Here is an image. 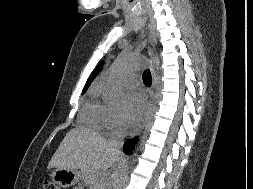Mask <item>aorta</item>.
<instances>
[{"label": "aorta", "instance_id": "obj_1", "mask_svg": "<svg viewBox=\"0 0 253 189\" xmlns=\"http://www.w3.org/2000/svg\"><path fill=\"white\" fill-rule=\"evenodd\" d=\"M143 66L141 58H134L128 54H122L112 68L110 77L103 85V96L109 107L117 108L123 104L124 95L120 85V77L123 73Z\"/></svg>", "mask_w": 253, "mask_h": 189}]
</instances>
